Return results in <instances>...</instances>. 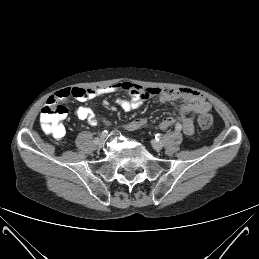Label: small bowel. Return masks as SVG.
Returning a JSON list of instances; mask_svg holds the SVG:
<instances>
[{"label": "small bowel", "instance_id": "small-bowel-1", "mask_svg": "<svg viewBox=\"0 0 259 259\" xmlns=\"http://www.w3.org/2000/svg\"><path fill=\"white\" fill-rule=\"evenodd\" d=\"M123 90L129 94V99H118L117 105L125 112L139 108L142 103L152 97H158L162 102L168 103L177 99H183L185 103L180 107L176 116L169 115L164 117L156 126L165 130L175 124H180L184 133L192 135L195 131L194 116L199 113L209 112L211 105L197 91L189 88L163 89L157 87H143L132 82H119L110 86L84 89V88H65L57 91L49 99L64 100L67 97H74L79 101H87L102 97L116 91ZM75 115L80 120H86L91 125L98 123L95 113L88 107L81 106L75 111ZM103 124L108 125L106 117L101 116ZM149 125L146 117H139L131 120L124 125L128 131H135Z\"/></svg>", "mask_w": 259, "mask_h": 259}]
</instances>
